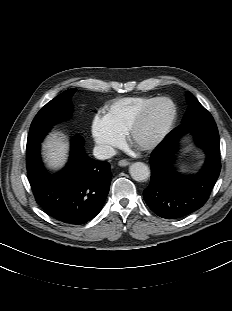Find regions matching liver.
<instances>
[{
    "label": "liver",
    "instance_id": "6515ba94",
    "mask_svg": "<svg viewBox=\"0 0 232 311\" xmlns=\"http://www.w3.org/2000/svg\"><path fill=\"white\" fill-rule=\"evenodd\" d=\"M44 157L51 167H61L67 157L68 144L57 134L49 136L44 144Z\"/></svg>",
    "mask_w": 232,
    "mask_h": 311
}]
</instances>
